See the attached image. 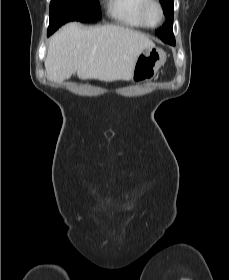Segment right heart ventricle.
I'll return each instance as SVG.
<instances>
[{"label":"right heart ventricle","instance_id":"e07e8e85","mask_svg":"<svg viewBox=\"0 0 229 280\" xmlns=\"http://www.w3.org/2000/svg\"><path fill=\"white\" fill-rule=\"evenodd\" d=\"M146 0H106L107 12L117 24L130 28H146L140 11Z\"/></svg>","mask_w":229,"mask_h":280}]
</instances>
